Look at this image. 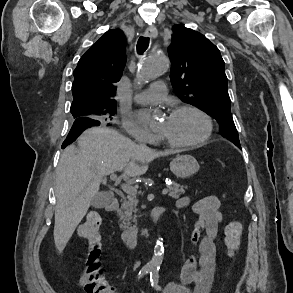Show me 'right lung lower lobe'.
<instances>
[{"label": "right lung lower lobe", "instance_id": "98d812e1", "mask_svg": "<svg viewBox=\"0 0 293 293\" xmlns=\"http://www.w3.org/2000/svg\"><path fill=\"white\" fill-rule=\"evenodd\" d=\"M102 124L101 121L89 117H80L75 119L67 138L62 144V149L76 140V138L86 129L92 126Z\"/></svg>", "mask_w": 293, "mask_h": 293}]
</instances>
